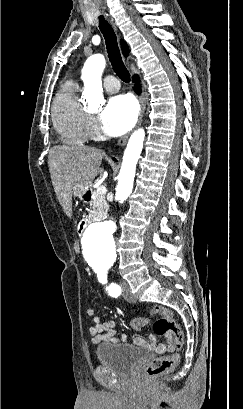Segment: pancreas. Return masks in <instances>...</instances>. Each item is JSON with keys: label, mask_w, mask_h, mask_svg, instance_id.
Wrapping results in <instances>:
<instances>
[{"label": "pancreas", "mask_w": 243, "mask_h": 409, "mask_svg": "<svg viewBox=\"0 0 243 409\" xmlns=\"http://www.w3.org/2000/svg\"><path fill=\"white\" fill-rule=\"evenodd\" d=\"M93 198L91 201V210L89 217L93 220H103L107 216L108 204L102 194L96 190L92 192Z\"/></svg>", "instance_id": "1"}]
</instances>
